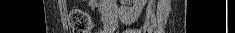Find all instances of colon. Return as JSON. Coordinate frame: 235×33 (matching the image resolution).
<instances>
[{"mask_svg": "<svg viewBox=\"0 0 235 33\" xmlns=\"http://www.w3.org/2000/svg\"><path fill=\"white\" fill-rule=\"evenodd\" d=\"M69 22L74 33H91L95 26L92 16L82 10L72 11Z\"/></svg>", "mask_w": 235, "mask_h": 33, "instance_id": "obj_1", "label": "colon"}]
</instances>
